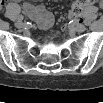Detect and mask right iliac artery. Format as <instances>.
<instances>
[{"instance_id":"82829eb1","label":"right iliac artery","mask_w":103,"mask_h":103,"mask_svg":"<svg viewBox=\"0 0 103 103\" xmlns=\"http://www.w3.org/2000/svg\"><path fill=\"white\" fill-rule=\"evenodd\" d=\"M19 21H22L24 19V17L22 15H19L17 18Z\"/></svg>"}]
</instances>
